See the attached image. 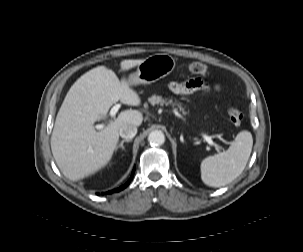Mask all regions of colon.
<instances>
[{
  "mask_svg": "<svg viewBox=\"0 0 303 252\" xmlns=\"http://www.w3.org/2000/svg\"><path fill=\"white\" fill-rule=\"evenodd\" d=\"M188 70L194 75H206L208 73L207 65L196 61L190 62L188 64ZM228 116L232 124L235 126H239L244 119L243 113L236 108H229Z\"/></svg>",
  "mask_w": 303,
  "mask_h": 252,
  "instance_id": "colon-1",
  "label": "colon"
}]
</instances>
